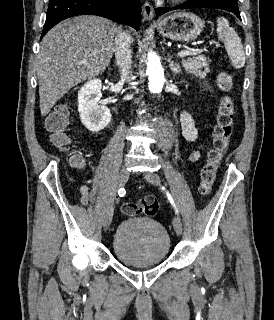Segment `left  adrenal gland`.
Wrapping results in <instances>:
<instances>
[{"label":"left adrenal gland","instance_id":"1","mask_svg":"<svg viewBox=\"0 0 274 320\" xmlns=\"http://www.w3.org/2000/svg\"><path fill=\"white\" fill-rule=\"evenodd\" d=\"M169 68L172 70L173 74H179L181 72L179 64L172 62L171 58H168Z\"/></svg>","mask_w":274,"mask_h":320}]
</instances>
